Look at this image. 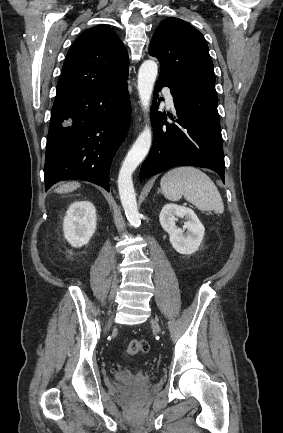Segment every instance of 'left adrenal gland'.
Segmentation results:
<instances>
[{
    "label": "left adrenal gland",
    "mask_w": 283,
    "mask_h": 433,
    "mask_svg": "<svg viewBox=\"0 0 283 433\" xmlns=\"http://www.w3.org/2000/svg\"><path fill=\"white\" fill-rule=\"evenodd\" d=\"M158 192H161V188H158Z\"/></svg>",
    "instance_id": "obj_1"
}]
</instances>
